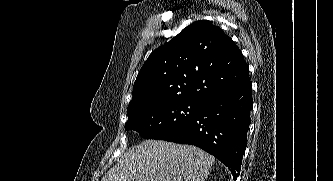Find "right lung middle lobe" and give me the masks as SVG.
Wrapping results in <instances>:
<instances>
[{
    "label": "right lung middle lobe",
    "mask_w": 333,
    "mask_h": 181,
    "mask_svg": "<svg viewBox=\"0 0 333 181\" xmlns=\"http://www.w3.org/2000/svg\"><path fill=\"white\" fill-rule=\"evenodd\" d=\"M200 105L187 99L151 103L127 112L125 130H135L146 139L167 140L193 119Z\"/></svg>",
    "instance_id": "obj_1"
}]
</instances>
